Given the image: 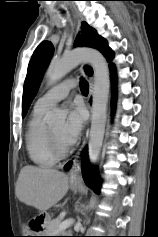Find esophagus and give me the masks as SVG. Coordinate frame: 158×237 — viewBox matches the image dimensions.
<instances>
[{
  "instance_id": "34e87169",
  "label": "esophagus",
  "mask_w": 158,
  "mask_h": 237,
  "mask_svg": "<svg viewBox=\"0 0 158 237\" xmlns=\"http://www.w3.org/2000/svg\"><path fill=\"white\" fill-rule=\"evenodd\" d=\"M76 17V16H75ZM81 31V28H80V20L77 19V22H76V32L77 33H80ZM92 79L90 81V91H89V96L92 95ZM84 145L85 143H83L80 151L78 152L76 158L74 159L73 161V164H72V167L69 171V177H70V180L71 181H74L76 179H79L80 178V174H81V162H80V152L82 151V149L84 148Z\"/></svg>"
}]
</instances>
